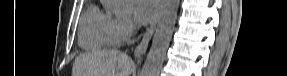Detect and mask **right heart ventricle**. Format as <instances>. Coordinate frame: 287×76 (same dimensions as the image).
Here are the masks:
<instances>
[{"instance_id": "right-heart-ventricle-1", "label": "right heart ventricle", "mask_w": 287, "mask_h": 76, "mask_svg": "<svg viewBox=\"0 0 287 76\" xmlns=\"http://www.w3.org/2000/svg\"><path fill=\"white\" fill-rule=\"evenodd\" d=\"M113 20L98 7H89L80 24V45L86 49H99L116 44L112 33Z\"/></svg>"}]
</instances>
